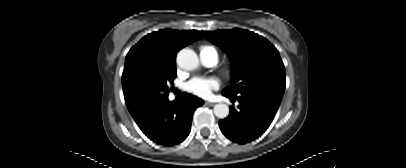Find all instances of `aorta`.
Masks as SVG:
<instances>
[{
    "label": "aorta",
    "mask_w": 406,
    "mask_h": 168,
    "mask_svg": "<svg viewBox=\"0 0 406 168\" xmlns=\"http://www.w3.org/2000/svg\"><path fill=\"white\" fill-rule=\"evenodd\" d=\"M177 64L184 70H195L199 66L197 54L192 49H182L177 54ZM214 114L220 119L229 115V107L226 104L219 103L214 106Z\"/></svg>",
    "instance_id": "762f6f07"
}]
</instances>
